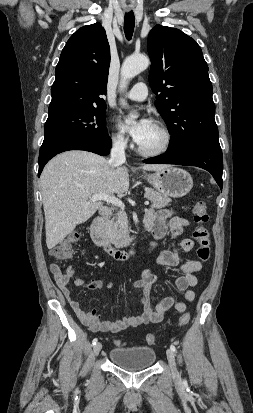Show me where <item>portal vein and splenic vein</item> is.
I'll use <instances>...</instances> for the list:
<instances>
[{
	"mask_svg": "<svg viewBox=\"0 0 253 413\" xmlns=\"http://www.w3.org/2000/svg\"><path fill=\"white\" fill-rule=\"evenodd\" d=\"M91 200H92V201L103 200V201H106V202H108V203H111V204H113V205H115V206H118V207H120V208H122V209H124V207H125L124 203H123L120 199H118V198H116V197H114V196H108L107 194H104V193L93 195L92 198H91ZM144 204H145V206H148V205H149V201H145Z\"/></svg>",
	"mask_w": 253,
	"mask_h": 413,
	"instance_id": "18ae733b",
	"label": "portal vein and splenic vein"
}]
</instances>
